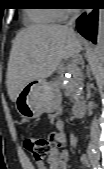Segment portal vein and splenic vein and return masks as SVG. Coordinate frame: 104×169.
Segmentation results:
<instances>
[{
  "mask_svg": "<svg viewBox=\"0 0 104 169\" xmlns=\"http://www.w3.org/2000/svg\"><path fill=\"white\" fill-rule=\"evenodd\" d=\"M68 68H69V72H70L71 74L77 75V72H78V70H79V68H78L77 65H75V64H70V65L68 66Z\"/></svg>",
  "mask_w": 104,
  "mask_h": 169,
  "instance_id": "18ae733b",
  "label": "portal vein and splenic vein"
}]
</instances>
